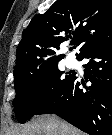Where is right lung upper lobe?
<instances>
[{"instance_id": "right-lung-upper-lobe-1", "label": "right lung upper lobe", "mask_w": 112, "mask_h": 135, "mask_svg": "<svg viewBox=\"0 0 112 135\" xmlns=\"http://www.w3.org/2000/svg\"><path fill=\"white\" fill-rule=\"evenodd\" d=\"M81 47L78 57L112 43L111 0H58L36 15L23 31L17 47L14 77L39 71L64 55L55 52L61 43Z\"/></svg>"}]
</instances>
